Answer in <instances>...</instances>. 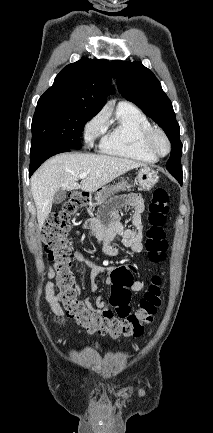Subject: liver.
Returning <instances> with one entry per match:
<instances>
[{"mask_svg": "<svg viewBox=\"0 0 213 433\" xmlns=\"http://www.w3.org/2000/svg\"><path fill=\"white\" fill-rule=\"evenodd\" d=\"M142 163L108 155L66 153L47 160L31 178V192L37 209L39 229L52 209L53 197L60 188L94 192ZM88 176L78 181V175Z\"/></svg>", "mask_w": 213, "mask_h": 433, "instance_id": "liver-1", "label": "liver"}]
</instances>
